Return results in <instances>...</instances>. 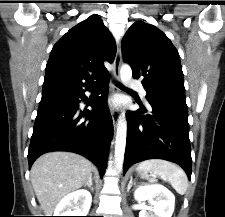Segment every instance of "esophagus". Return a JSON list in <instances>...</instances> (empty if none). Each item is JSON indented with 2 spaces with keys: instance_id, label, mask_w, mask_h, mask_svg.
Here are the masks:
<instances>
[{
  "instance_id": "esophagus-1",
  "label": "esophagus",
  "mask_w": 225,
  "mask_h": 217,
  "mask_svg": "<svg viewBox=\"0 0 225 217\" xmlns=\"http://www.w3.org/2000/svg\"><path fill=\"white\" fill-rule=\"evenodd\" d=\"M121 61H122L121 46H120V43H119L118 47H117V52H116V56H115V59H114V63H113V77H114V82L112 83V92L113 93L119 91V88L117 87L115 82L116 83L119 82ZM119 115H120L119 107L111 106V116H112L113 123L115 125L117 124Z\"/></svg>"
}]
</instances>
